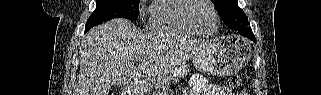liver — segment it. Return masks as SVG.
Masks as SVG:
<instances>
[{"instance_id":"1","label":"liver","mask_w":321,"mask_h":95,"mask_svg":"<svg viewBox=\"0 0 321 95\" xmlns=\"http://www.w3.org/2000/svg\"><path fill=\"white\" fill-rule=\"evenodd\" d=\"M206 43L140 33L129 20L113 19L91 29L82 41L74 95H108L113 85H128L144 76L155 80L192 58Z\"/></svg>"}]
</instances>
